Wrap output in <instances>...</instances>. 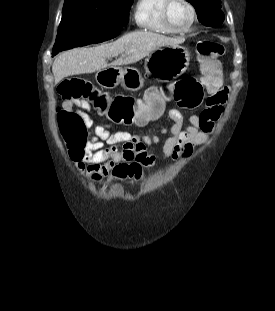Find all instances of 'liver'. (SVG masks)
<instances>
[{
  "mask_svg": "<svg viewBox=\"0 0 275 311\" xmlns=\"http://www.w3.org/2000/svg\"><path fill=\"white\" fill-rule=\"evenodd\" d=\"M181 40L149 31L128 33L113 43L92 48H76L60 54L53 62L55 84L65 77L93 73L110 65L106 59L119 57L112 66L136 63L162 46L176 45Z\"/></svg>",
  "mask_w": 275,
  "mask_h": 311,
  "instance_id": "obj_1",
  "label": "liver"
}]
</instances>
